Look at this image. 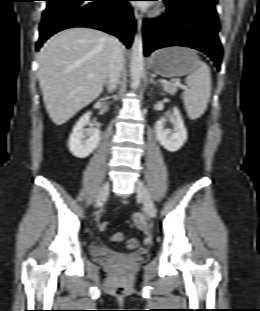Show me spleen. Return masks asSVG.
I'll return each instance as SVG.
<instances>
[{
	"label": "spleen",
	"mask_w": 260,
	"mask_h": 311,
	"mask_svg": "<svg viewBox=\"0 0 260 311\" xmlns=\"http://www.w3.org/2000/svg\"><path fill=\"white\" fill-rule=\"evenodd\" d=\"M185 82L188 89L182 93L187 114L191 120L199 118L206 110L211 94V76L209 66L197 61V68Z\"/></svg>",
	"instance_id": "spleen-1"
}]
</instances>
